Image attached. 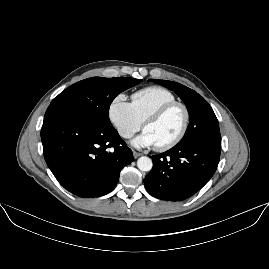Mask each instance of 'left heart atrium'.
I'll return each mask as SVG.
<instances>
[{
  "instance_id": "39dd6f15",
  "label": "left heart atrium",
  "mask_w": 269,
  "mask_h": 269,
  "mask_svg": "<svg viewBox=\"0 0 269 269\" xmlns=\"http://www.w3.org/2000/svg\"><path fill=\"white\" fill-rule=\"evenodd\" d=\"M132 145L135 147H150L155 146L152 138L147 132H144L132 141Z\"/></svg>"
}]
</instances>
